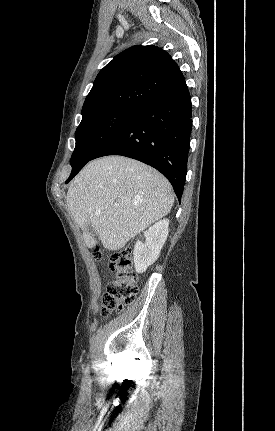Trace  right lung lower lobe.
<instances>
[{"instance_id": "right-lung-lower-lobe-1", "label": "right lung lower lobe", "mask_w": 275, "mask_h": 431, "mask_svg": "<svg viewBox=\"0 0 275 431\" xmlns=\"http://www.w3.org/2000/svg\"><path fill=\"white\" fill-rule=\"evenodd\" d=\"M191 118V98L184 80L138 108L91 160L122 155L146 163L170 181L180 200L187 173Z\"/></svg>"}]
</instances>
